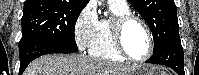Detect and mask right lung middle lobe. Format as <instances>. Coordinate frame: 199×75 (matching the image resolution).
<instances>
[{
    "mask_svg": "<svg viewBox=\"0 0 199 75\" xmlns=\"http://www.w3.org/2000/svg\"><path fill=\"white\" fill-rule=\"evenodd\" d=\"M84 7L61 3L46 6L24 5L22 38L19 47L33 40H45L62 47L78 50L74 28Z\"/></svg>",
    "mask_w": 199,
    "mask_h": 75,
    "instance_id": "right-lung-middle-lobe-1",
    "label": "right lung middle lobe"
}]
</instances>
